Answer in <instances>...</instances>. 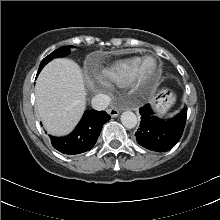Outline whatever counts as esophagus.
Wrapping results in <instances>:
<instances>
[{
	"label": "esophagus",
	"instance_id": "obj_1",
	"mask_svg": "<svg viewBox=\"0 0 220 220\" xmlns=\"http://www.w3.org/2000/svg\"><path fill=\"white\" fill-rule=\"evenodd\" d=\"M108 113L111 117H117L119 115V110L117 108L108 109Z\"/></svg>",
	"mask_w": 220,
	"mask_h": 220
}]
</instances>
